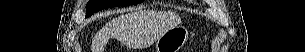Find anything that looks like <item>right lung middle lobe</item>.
Returning a JSON list of instances; mask_svg holds the SVG:
<instances>
[{"label":"right lung middle lobe","mask_w":305,"mask_h":52,"mask_svg":"<svg viewBox=\"0 0 305 52\" xmlns=\"http://www.w3.org/2000/svg\"><path fill=\"white\" fill-rule=\"evenodd\" d=\"M142 1L143 0H90L86 5V17H89L102 9L114 6H128Z\"/></svg>","instance_id":"dd1d6c3e"}]
</instances>
